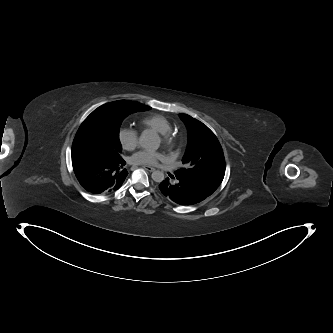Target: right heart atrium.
Listing matches in <instances>:
<instances>
[{"label":"right heart atrium","mask_w":333,"mask_h":333,"mask_svg":"<svg viewBox=\"0 0 333 333\" xmlns=\"http://www.w3.org/2000/svg\"><path fill=\"white\" fill-rule=\"evenodd\" d=\"M118 138L122 147L127 151H133L139 144L138 132L132 127H122L119 130Z\"/></svg>","instance_id":"obj_1"}]
</instances>
